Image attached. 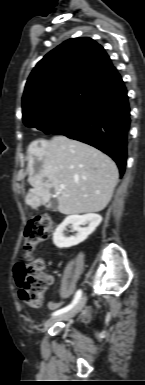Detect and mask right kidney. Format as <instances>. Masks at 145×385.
Returning a JSON list of instances; mask_svg holds the SVG:
<instances>
[{"label": "right kidney", "instance_id": "1", "mask_svg": "<svg viewBox=\"0 0 145 385\" xmlns=\"http://www.w3.org/2000/svg\"><path fill=\"white\" fill-rule=\"evenodd\" d=\"M102 221V217L98 214L89 213L85 215H70L57 227L53 234V243L58 248H69L87 239ZM88 223L85 228L80 227ZM72 225L73 230L77 231L75 236L65 237L64 231L66 227Z\"/></svg>", "mask_w": 145, "mask_h": 385}]
</instances>
